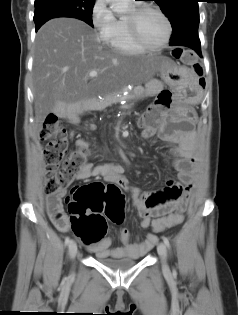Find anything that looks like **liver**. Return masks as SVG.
<instances>
[{
  "instance_id": "1",
  "label": "liver",
  "mask_w": 238,
  "mask_h": 315,
  "mask_svg": "<svg viewBox=\"0 0 238 315\" xmlns=\"http://www.w3.org/2000/svg\"><path fill=\"white\" fill-rule=\"evenodd\" d=\"M164 65L158 55L128 56L101 45L96 32L74 18L46 22L35 40L33 94L35 131L49 113L66 117L97 96L149 82ZM97 71L96 77H90ZM90 81V82H88Z\"/></svg>"
}]
</instances>
